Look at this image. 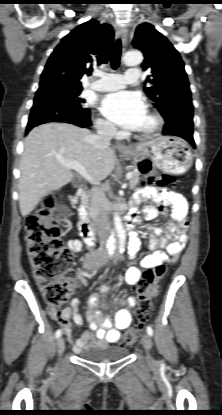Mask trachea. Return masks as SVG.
I'll list each match as a JSON object with an SVG mask.
<instances>
[{
	"label": "trachea",
	"mask_w": 222,
	"mask_h": 415,
	"mask_svg": "<svg viewBox=\"0 0 222 415\" xmlns=\"http://www.w3.org/2000/svg\"><path fill=\"white\" fill-rule=\"evenodd\" d=\"M121 51H122L121 40L118 39L115 42V45L113 47L111 57H110L111 67L113 69H117L120 65Z\"/></svg>",
	"instance_id": "1"
}]
</instances>
